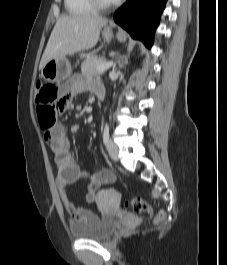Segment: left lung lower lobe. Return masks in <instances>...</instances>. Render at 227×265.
Instances as JSON below:
<instances>
[{"label":"left lung lower lobe","mask_w":227,"mask_h":265,"mask_svg":"<svg viewBox=\"0 0 227 265\" xmlns=\"http://www.w3.org/2000/svg\"><path fill=\"white\" fill-rule=\"evenodd\" d=\"M167 0H128L114 14V21L148 48L153 44L154 31L159 24Z\"/></svg>","instance_id":"0a47b994"}]
</instances>
